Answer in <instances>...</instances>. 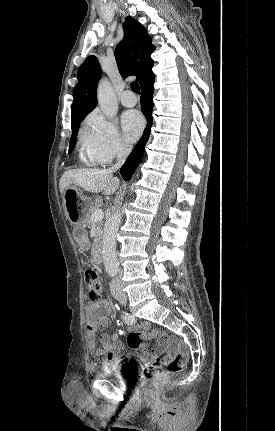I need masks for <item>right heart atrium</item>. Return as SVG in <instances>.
Returning a JSON list of instances; mask_svg holds the SVG:
<instances>
[{
	"instance_id": "1",
	"label": "right heart atrium",
	"mask_w": 275,
	"mask_h": 431,
	"mask_svg": "<svg viewBox=\"0 0 275 431\" xmlns=\"http://www.w3.org/2000/svg\"><path fill=\"white\" fill-rule=\"evenodd\" d=\"M79 139L87 159L92 164L111 163L130 150L116 124L98 111L86 118Z\"/></svg>"
}]
</instances>
